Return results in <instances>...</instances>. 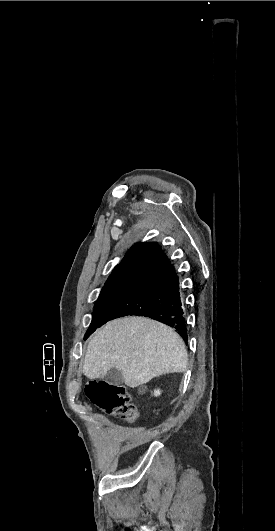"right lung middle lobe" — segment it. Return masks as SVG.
Masks as SVG:
<instances>
[{
    "mask_svg": "<svg viewBox=\"0 0 275 531\" xmlns=\"http://www.w3.org/2000/svg\"><path fill=\"white\" fill-rule=\"evenodd\" d=\"M143 271L144 269L128 270L109 276L94 306L92 322L84 339L100 326L107 311L139 279Z\"/></svg>",
    "mask_w": 275,
    "mask_h": 531,
    "instance_id": "1",
    "label": "right lung middle lobe"
}]
</instances>
